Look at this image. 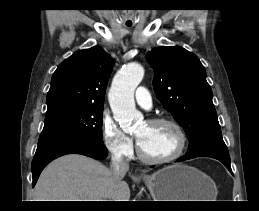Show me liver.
Listing matches in <instances>:
<instances>
[{"instance_id": "liver-1", "label": "liver", "mask_w": 259, "mask_h": 211, "mask_svg": "<svg viewBox=\"0 0 259 211\" xmlns=\"http://www.w3.org/2000/svg\"><path fill=\"white\" fill-rule=\"evenodd\" d=\"M34 195L35 201H129L130 188L101 162L69 154L43 170Z\"/></svg>"}]
</instances>
